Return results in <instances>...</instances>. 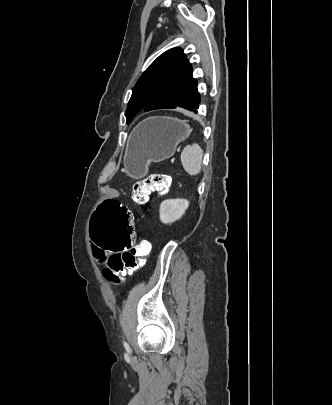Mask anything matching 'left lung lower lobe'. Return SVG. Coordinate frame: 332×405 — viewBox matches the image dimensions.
<instances>
[{
  "instance_id": "0a47b994",
  "label": "left lung lower lobe",
  "mask_w": 332,
  "mask_h": 405,
  "mask_svg": "<svg viewBox=\"0 0 332 405\" xmlns=\"http://www.w3.org/2000/svg\"><path fill=\"white\" fill-rule=\"evenodd\" d=\"M200 103V102H199ZM199 108V104H198V106H196L194 109H192V110H190V111H192V112H194V113H197V109Z\"/></svg>"
}]
</instances>
